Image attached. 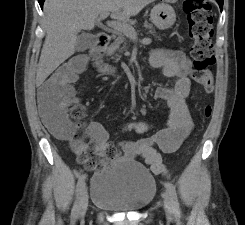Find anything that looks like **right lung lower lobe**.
I'll return each mask as SVG.
<instances>
[{"instance_id":"98d812e1","label":"right lung lower lobe","mask_w":245,"mask_h":225,"mask_svg":"<svg viewBox=\"0 0 245 225\" xmlns=\"http://www.w3.org/2000/svg\"><path fill=\"white\" fill-rule=\"evenodd\" d=\"M45 0H38L39 4H40V7L43 8V3H44Z\"/></svg>"}]
</instances>
